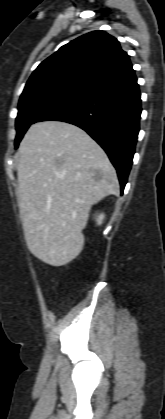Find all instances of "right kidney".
Segmentation results:
<instances>
[{
	"label": "right kidney",
	"instance_id": "ca27d5eb",
	"mask_svg": "<svg viewBox=\"0 0 165 419\" xmlns=\"http://www.w3.org/2000/svg\"><path fill=\"white\" fill-rule=\"evenodd\" d=\"M103 219H104V214L99 215L97 218V223L100 225Z\"/></svg>",
	"mask_w": 165,
	"mask_h": 419
}]
</instances>
